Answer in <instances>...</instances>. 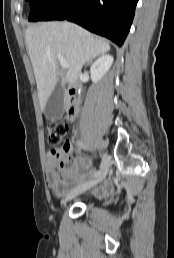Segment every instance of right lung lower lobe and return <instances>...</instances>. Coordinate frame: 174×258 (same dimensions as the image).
I'll list each match as a JSON object with an SVG mask.
<instances>
[{"label":"right lung lower lobe","mask_w":174,"mask_h":258,"mask_svg":"<svg viewBox=\"0 0 174 258\" xmlns=\"http://www.w3.org/2000/svg\"><path fill=\"white\" fill-rule=\"evenodd\" d=\"M138 0H53L41 21L68 20L121 46Z\"/></svg>","instance_id":"98d812e1"}]
</instances>
